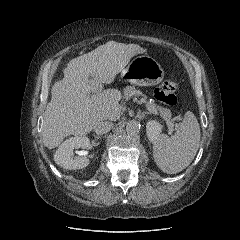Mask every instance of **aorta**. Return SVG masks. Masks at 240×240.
<instances>
[{
    "label": "aorta",
    "mask_w": 240,
    "mask_h": 240,
    "mask_svg": "<svg viewBox=\"0 0 240 240\" xmlns=\"http://www.w3.org/2000/svg\"><path fill=\"white\" fill-rule=\"evenodd\" d=\"M140 131V124L136 120H129L126 123V132L129 135H136Z\"/></svg>",
    "instance_id": "762f6f07"
}]
</instances>
